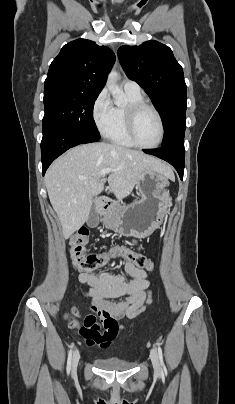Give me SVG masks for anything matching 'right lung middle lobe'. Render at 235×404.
<instances>
[{"label":"right lung middle lobe","instance_id":"obj_1","mask_svg":"<svg viewBox=\"0 0 235 404\" xmlns=\"http://www.w3.org/2000/svg\"><path fill=\"white\" fill-rule=\"evenodd\" d=\"M98 95L63 86L44 87L43 134L71 128L100 138L93 119V107Z\"/></svg>","mask_w":235,"mask_h":404}]
</instances>
